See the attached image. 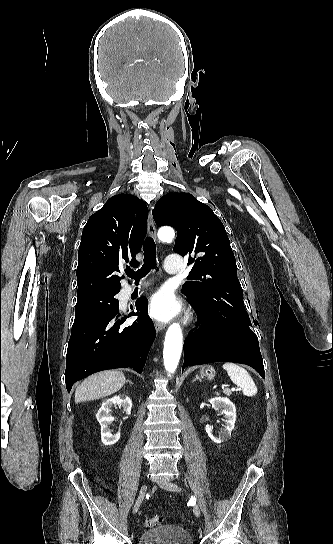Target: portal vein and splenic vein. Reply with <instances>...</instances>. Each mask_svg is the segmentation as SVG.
Here are the masks:
<instances>
[{"label": "portal vein and splenic vein", "instance_id": "18ae733b", "mask_svg": "<svg viewBox=\"0 0 333 544\" xmlns=\"http://www.w3.org/2000/svg\"><path fill=\"white\" fill-rule=\"evenodd\" d=\"M225 390H226V391H230V389H228V388H226ZM231 390H232V391H236L237 388H232Z\"/></svg>", "mask_w": 333, "mask_h": 544}]
</instances>
